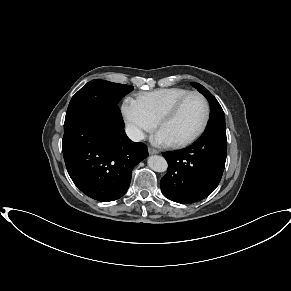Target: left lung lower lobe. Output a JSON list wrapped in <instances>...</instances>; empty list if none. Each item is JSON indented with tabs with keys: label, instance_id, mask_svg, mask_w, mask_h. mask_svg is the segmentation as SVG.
<instances>
[{
	"label": "left lung lower lobe",
	"instance_id": "obj_1",
	"mask_svg": "<svg viewBox=\"0 0 291 291\" xmlns=\"http://www.w3.org/2000/svg\"><path fill=\"white\" fill-rule=\"evenodd\" d=\"M226 150V129H213L186 149L163 153L169 165L160 183L163 194L183 204L209 196L221 180Z\"/></svg>",
	"mask_w": 291,
	"mask_h": 291
}]
</instances>
